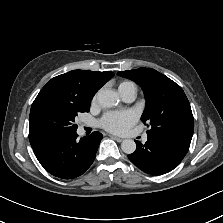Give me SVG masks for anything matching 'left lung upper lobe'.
Instances as JSON below:
<instances>
[{
	"instance_id": "5c2ea615",
	"label": "left lung upper lobe",
	"mask_w": 223,
	"mask_h": 223,
	"mask_svg": "<svg viewBox=\"0 0 223 223\" xmlns=\"http://www.w3.org/2000/svg\"><path fill=\"white\" fill-rule=\"evenodd\" d=\"M118 75L133 80L144 91L146 108L141 120L149 123L147 134L191 143L194 119L189 101L178 84L151 68L120 71Z\"/></svg>"
}]
</instances>
